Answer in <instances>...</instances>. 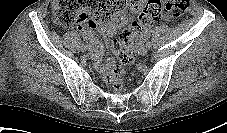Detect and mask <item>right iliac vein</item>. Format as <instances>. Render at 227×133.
Segmentation results:
<instances>
[{"mask_svg": "<svg viewBox=\"0 0 227 133\" xmlns=\"http://www.w3.org/2000/svg\"><path fill=\"white\" fill-rule=\"evenodd\" d=\"M83 51H91L92 47L88 46V45H84V47L82 48Z\"/></svg>", "mask_w": 227, "mask_h": 133, "instance_id": "63e3f726", "label": "right iliac vein"}]
</instances>
